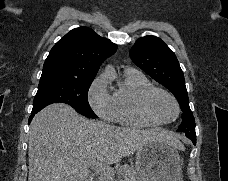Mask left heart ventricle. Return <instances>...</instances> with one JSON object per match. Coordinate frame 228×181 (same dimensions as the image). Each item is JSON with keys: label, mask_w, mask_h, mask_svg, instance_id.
Here are the masks:
<instances>
[{"label": "left heart ventricle", "mask_w": 228, "mask_h": 181, "mask_svg": "<svg viewBox=\"0 0 228 181\" xmlns=\"http://www.w3.org/2000/svg\"><path fill=\"white\" fill-rule=\"evenodd\" d=\"M149 108L156 114H162L164 118H169L174 114L171 101L161 93L153 96Z\"/></svg>", "instance_id": "obj_1"}]
</instances>
